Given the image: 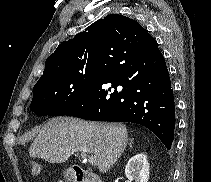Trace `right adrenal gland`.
<instances>
[{
  "label": "right adrenal gland",
  "mask_w": 211,
  "mask_h": 182,
  "mask_svg": "<svg viewBox=\"0 0 211 182\" xmlns=\"http://www.w3.org/2000/svg\"><path fill=\"white\" fill-rule=\"evenodd\" d=\"M130 147L132 146V141L129 143Z\"/></svg>",
  "instance_id": "2a0ac1e0"
}]
</instances>
